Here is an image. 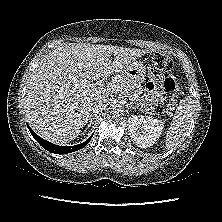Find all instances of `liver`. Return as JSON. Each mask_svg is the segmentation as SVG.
Returning a JSON list of instances; mask_svg holds the SVG:
<instances>
[{
  "label": "liver",
  "instance_id": "1",
  "mask_svg": "<svg viewBox=\"0 0 222 222\" xmlns=\"http://www.w3.org/2000/svg\"><path fill=\"white\" fill-rule=\"evenodd\" d=\"M148 50L112 45L74 44L58 46L39 62L30 76L24 99L28 123L43 139L55 144L74 140L90 114L91 102L113 92L103 87L80 86L112 74L122 76L128 65ZM114 55V61L110 57ZM114 86V85H113ZM112 86V87H113Z\"/></svg>",
  "mask_w": 222,
  "mask_h": 222
}]
</instances>
